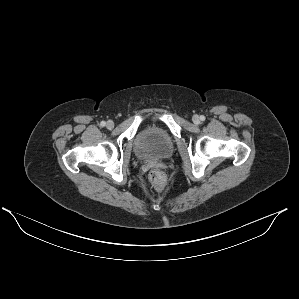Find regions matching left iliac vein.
I'll return each instance as SVG.
<instances>
[{"mask_svg":"<svg viewBox=\"0 0 299 299\" xmlns=\"http://www.w3.org/2000/svg\"><path fill=\"white\" fill-rule=\"evenodd\" d=\"M192 120H193V122L195 124H198L200 122V119H199V117L197 115H194L193 118H192Z\"/></svg>","mask_w":299,"mask_h":299,"instance_id":"obj_1","label":"left iliac vein"}]
</instances>
